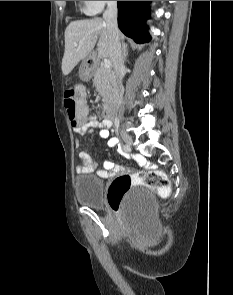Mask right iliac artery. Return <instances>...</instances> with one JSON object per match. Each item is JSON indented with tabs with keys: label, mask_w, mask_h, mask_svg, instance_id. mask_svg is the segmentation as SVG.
<instances>
[{
	"label": "right iliac artery",
	"mask_w": 233,
	"mask_h": 295,
	"mask_svg": "<svg viewBox=\"0 0 233 295\" xmlns=\"http://www.w3.org/2000/svg\"><path fill=\"white\" fill-rule=\"evenodd\" d=\"M126 147H127V144H124L123 150H125V153H128V150H126Z\"/></svg>",
	"instance_id": "82829eb1"
}]
</instances>
